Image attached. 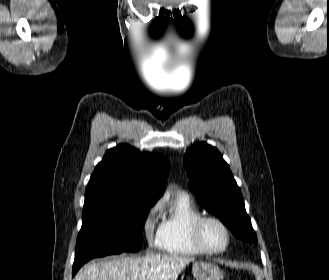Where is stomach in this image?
<instances>
[{
	"mask_svg": "<svg viewBox=\"0 0 329 280\" xmlns=\"http://www.w3.org/2000/svg\"><path fill=\"white\" fill-rule=\"evenodd\" d=\"M192 273L196 280H221L223 278V273L218 265L203 261L193 264Z\"/></svg>",
	"mask_w": 329,
	"mask_h": 280,
	"instance_id": "1",
	"label": "stomach"
}]
</instances>
